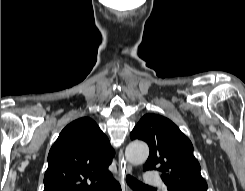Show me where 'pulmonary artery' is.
<instances>
[{"label":"pulmonary artery","instance_id":"obj_1","mask_svg":"<svg viewBox=\"0 0 245 191\" xmlns=\"http://www.w3.org/2000/svg\"><path fill=\"white\" fill-rule=\"evenodd\" d=\"M143 177H144V183L148 186H159V187L164 186L161 178L155 172L147 171L144 173Z\"/></svg>","mask_w":245,"mask_h":191}]
</instances>
